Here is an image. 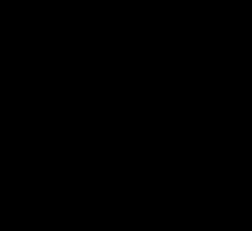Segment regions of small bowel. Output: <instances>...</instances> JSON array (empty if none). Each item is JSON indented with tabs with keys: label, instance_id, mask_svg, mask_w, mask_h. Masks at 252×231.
<instances>
[{
	"label": "small bowel",
	"instance_id": "obj_1",
	"mask_svg": "<svg viewBox=\"0 0 252 231\" xmlns=\"http://www.w3.org/2000/svg\"><path fill=\"white\" fill-rule=\"evenodd\" d=\"M155 96L157 97V98H159V99H164V94H155ZM179 104H180V106H182V107H189V104H187V102H185V100H184V98L182 97H180L179 98ZM190 108H192V109H194V110H196L197 108L195 107V106H193V105H190Z\"/></svg>",
	"mask_w": 252,
	"mask_h": 231
}]
</instances>
